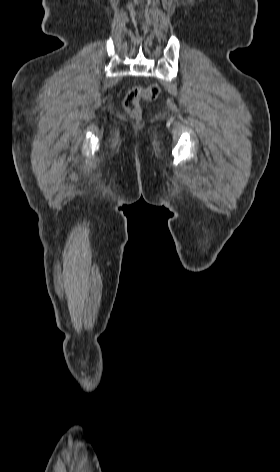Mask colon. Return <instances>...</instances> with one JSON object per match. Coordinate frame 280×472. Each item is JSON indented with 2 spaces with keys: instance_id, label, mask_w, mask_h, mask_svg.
Here are the masks:
<instances>
[{
  "instance_id": "obj_1",
  "label": "colon",
  "mask_w": 280,
  "mask_h": 472,
  "mask_svg": "<svg viewBox=\"0 0 280 472\" xmlns=\"http://www.w3.org/2000/svg\"><path fill=\"white\" fill-rule=\"evenodd\" d=\"M160 93V88L156 84L147 87H134L130 89L124 97L123 106L128 114L138 118L141 115V100L153 101Z\"/></svg>"
}]
</instances>
